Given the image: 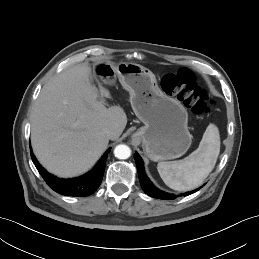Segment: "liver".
I'll list each match as a JSON object with an SVG mask.
<instances>
[{
    "label": "liver",
    "mask_w": 259,
    "mask_h": 259,
    "mask_svg": "<svg viewBox=\"0 0 259 259\" xmlns=\"http://www.w3.org/2000/svg\"><path fill=\"white\" fill-rule=\"evenodd\" d=\"M88 64H78L53 77L42 88L31 114V142L39 162L59 177L88 171L106 150L109 138L118 139L127 124L120 106L106 108L97 100ZM103 96L110 98L106 89Z\"/></svg>",
    "instance_id": "liver-1"
}]
</instances>
